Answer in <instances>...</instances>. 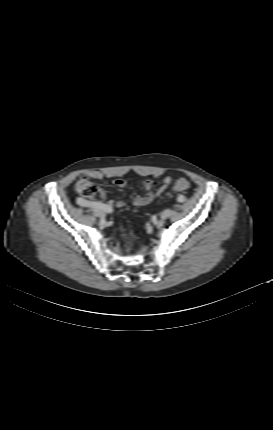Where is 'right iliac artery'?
<instances>
[{"instance_id":"right-iliac-artery-1","label":"right iliac artery","mask_w":273,"mask_h":430,"mask_svg":"<svg viewBox=\"0 0 273 430\" xmlns=\"http://www.w3.org/2000/svg\"><path fill=\"white\" fill-rule=\"evenodd\" d=\"M77 203H80L81 206H91L94 209L99 208L106 213H111L113 211L112 208L106 204L94 202V201H88V200H84L82 198H77Z\"/></svg>"}]
</instances>
